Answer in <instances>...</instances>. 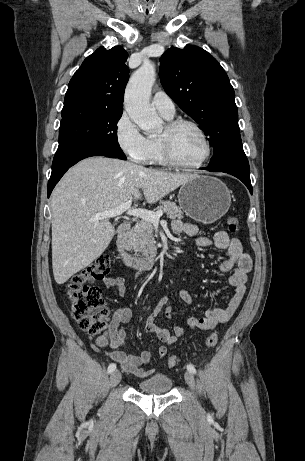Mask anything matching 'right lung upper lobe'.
<instances>
[{"mask_svg":"<svg viewBox=\"0 0 305 461\" xmlns=\"http://www.w3.org/2000/svg\"><path fill=\"white\" fill-rule=\"evenodd\" d=\"M127 57L121 46L99 48L88 56L69 82L63 108L86 105L122 111Z\"/></svg>","mask_w":305,"mask_h":461,"instance_id":"cb5924a9","label":"right lung upper lobe"}]
</instances>
